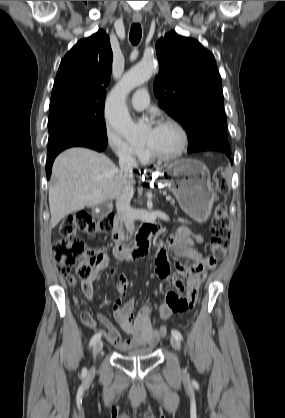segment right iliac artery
<instances>
[{
  "label": "right iliac artery",
  "instance_id": "1",
  "mask_svg": "<svg viewBox=\"0 0 285 418\" xmlns=\"http://www.w3.org/2000/svg\"><path fill=\"white\" fill-rule=\"evenodd\" d=\"M101 339V334L100 333H96L95 335H93V337L90 340L89 346H93L97 341H99ZM86 370L83 369V372H85Z\"/></svg>",
  "mask_w": 285,
  "mask_h": 418
}]
</instances>
